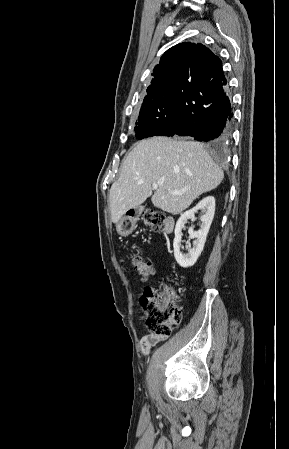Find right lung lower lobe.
<instances>
[{
  "mask_svg": "<svg viewBox=\"0 0 289 449\" xmlns=\"http://www.w3.org/2000/svg\"><path fill=\"white\" fill-rule=\"evenodd\" d=\"M173 93L177 115L152 136H191L214 145H222L229 138L233 112L222 69L207 82L179 81Z\"/></svg>",
  "mask_w": 289,
  "mask_h": 449,
  "instance_id": "right-lung-lower-lobe-1",
  "label": "right lung lower lobe"
}]
</instances>
